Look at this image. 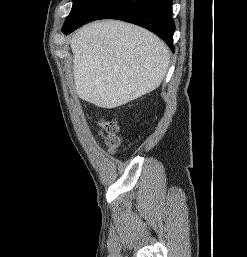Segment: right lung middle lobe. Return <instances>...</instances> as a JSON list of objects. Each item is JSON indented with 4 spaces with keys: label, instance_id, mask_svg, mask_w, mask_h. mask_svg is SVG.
<instances>
[{
    "label": "right lung middle lobe",
    "instance_id": "1",
    "mask_svg": "<svg viewBox=\"0 0 247 257\" xmlns=\"http://www.w3.org/2000/svg\"><path fill=\"white\" fill-rule=\"evenodd\" d=\"M93 0H73V7L64 25L74 23L86 11Z\"/></svg>",
    "mask_w": 247,
    "mask_h": 257
}]
</instances>
